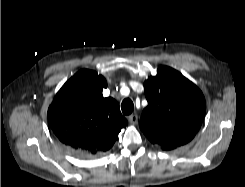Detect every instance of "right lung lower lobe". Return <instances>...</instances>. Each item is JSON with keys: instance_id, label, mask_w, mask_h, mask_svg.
Here are the masks:
<instances>
[{"instance_id": "right-lung-lower-lobe-1", "label": "right lung lower lobe", "mask_w": 245, "mask_h": 187, "mask_svg": "<svg viewBox=\"0 0 245 187\" xmlns=\"http://www.w3.org/2000/svg\"><path fill=\"white\" fill-rule=\"evenodd\" d=\"M72 151L75 152L76 154L80 155V156H85V157H86V156H89V155H88L87 153H85V152L75 151V150H73V149H72Z\"/></svg>"}]
</instances>
